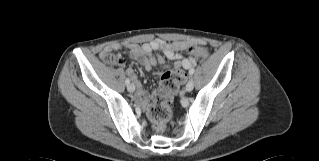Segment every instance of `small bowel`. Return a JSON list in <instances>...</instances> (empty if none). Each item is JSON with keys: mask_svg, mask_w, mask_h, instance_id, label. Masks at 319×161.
<instances>
[{"mask_svg": "<svg viewBox=\"0 0 319 161\" xmlns=\"http://www.w3.org/2000/svg\"><path fill=\"white\" fill-rule=\"evenodd\" d=\"M123 46L129 48L131 55L138 60L142 66L150 71L154 67L163 66L164 58L162 56H154L152 52L160 51L169 60H175V67L181 68L183 73V82L186 80L185 72L196 65L200 58L201 52L204 50L201 42H184V41H165L160 38H155L143 44H127L114 43L104 48L103 54L121 49ZM191 50L193 54L184 57L182 52ZM126 74L132 79L133 85L136 86L135 103L138 105H146L148 102V95L143 89L140 81L137 78L136 72L133 68L126 69Z\"/></svg>", "mask_w": 319, "mask_h": 161, "instance_id": "1", "label": "small bowel"}]
</instances>
